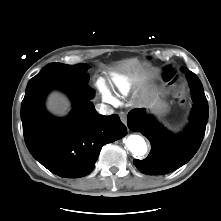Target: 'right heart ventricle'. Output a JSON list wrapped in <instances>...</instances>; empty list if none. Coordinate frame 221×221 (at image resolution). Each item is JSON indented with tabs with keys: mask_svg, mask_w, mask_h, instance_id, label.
I'll return each mask as SVG.
<instances>
[{
	"mask_svg": "<svg viewBox=\"0 0 221 221\" xmlns=\"http://www.w3.org/2000/svg\"><path fill=\"white\" fill-rule=\"evenodd\" d=\"M114 85L119 93L126 95L130 90V80L125 76H117L114 79Z\"/></svg>",
	"mask_w": 221,
	"mask_h": 221,
	"instance_id": "obj_1",
	"label": "right heart ventricle"
}]
</instances>
